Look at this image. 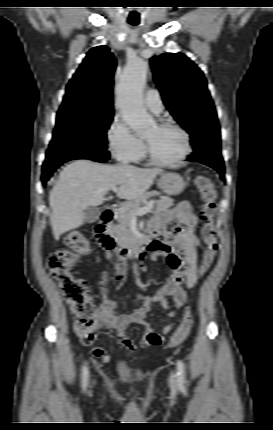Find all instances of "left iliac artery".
<instances>
[{
	"instance_id": "44dca946",
	"label": "left iliac artery",
	"mask_w": 273,
	"mask_h": 430,
	"mask_svg": "<svg viewBox=\"0 0 273 430\" xmlns=\"http://www.w3.org/2000/svg\"><path fill=\"white\" fill-rule=\"evenodd\" d=\"M185 366L184 363L181 360H178L177 362V376H178V382L183 385L185 382Z\"/></svg>"
}]
</instances>
